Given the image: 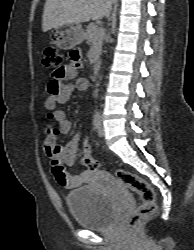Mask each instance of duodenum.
Listing matches in <instances>:
<instances>
[{"instance_id": "410a0bca", "label": "duodenum", "mask_w": 194, "mask_h": 250, "mask_svg": "<svg viewBox=\"0 0 194 250\" xmlns=\"http://www.w3.org/2000/svg\"><path fill=\"white\" fill-rule=\"evenodd\" d=\"M100 69H101V63L100 62H95L92 68V74L94 78H98L100 74Z\"/></svg>"}]
</instances>
